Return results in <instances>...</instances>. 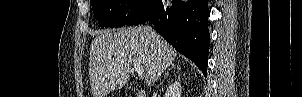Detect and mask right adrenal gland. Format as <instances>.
<instances>
[{"instance_id":"obj_1","label":"right adrenal gland","mask_w":302,"mask_h":97,"mask_svg":"<svg viewBox=\"0 0 302 97\" xmlns=\"http://www.w3.org/2000/svg\"><path fill=\"white\" fill-rule=\"evenodd\" d=\"M173 69H181L179 65L176 64H171L170 68L168 69L167 73L165 74V76L163 77V79L161 80L159 86L163 83V81L167 78V76L169 75V73L173 70Z\"/></svg>"}]
</instances>
